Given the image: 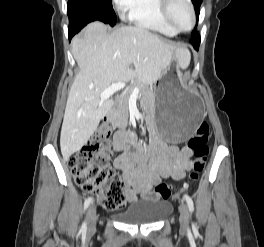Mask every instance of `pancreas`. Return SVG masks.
<instances>
[{
  "label": "pancreas",
  "instance_id": "pancreas-1",
  "mask_svg": "<svg viewBox=\"0 0 264 247\" xmlns=\"http://www.w3.org/2000/svg\"><path fill=\"white\" fill-rule=\"evenodd\" d=\"M134 88L135 84L129 86L115 104L112 120L117 125H125L128 122V101ZM139 90L142 95L149 93L148 88L142 82H139Z\"/></svg>",
  "mask_w": 264,
  "mask_h": 247
}]
</instances>
